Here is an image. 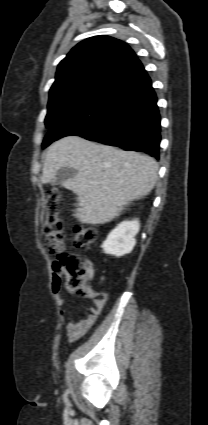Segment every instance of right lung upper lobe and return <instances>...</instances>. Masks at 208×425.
Here are the masks:
<instances>
[{"mask_svg":"<svg viewBox=\"0 0 208 425\" xmlns=\"http://www.w3.org/2000/svg\"><path fill=\"white\" fill-rule=\"evenodd\" d=\"M138 61L121 40L109 36L83 40L59 63L49 102L81 90H104Z\"/></svg>","mask_w":208,"mask_h":425,"instance_id":"right-lung-upper-lobe-1","label":"right lung upper lobe"}]
</instances>
